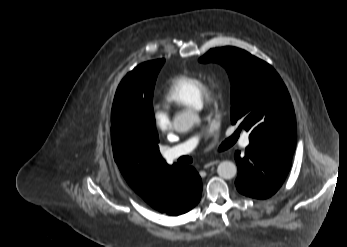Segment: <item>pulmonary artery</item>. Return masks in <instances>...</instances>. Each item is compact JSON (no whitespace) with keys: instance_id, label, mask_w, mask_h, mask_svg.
<instances>
[{"instance_id":"e3ab8cb5","label":"pulmonary artery","mask_w":347,"mask_h":247,"mask_svg":"<svg viewBox=\"0 0 347 247\" xmlns=\"http://www.w3.org/2000/svg\"><path fill=\"white\" fill-rule=\"evenodd\" d=\"M197 140L196 139H190L184 143H181L179 145H176L170 149H168L165 153V156L168 160H173L175 158H178L182 155H186L190 153L196 146ZM250 144V139L248 135H245L242 137L240 145L242 147H247Z\"/></svg>"}]
</instances>
